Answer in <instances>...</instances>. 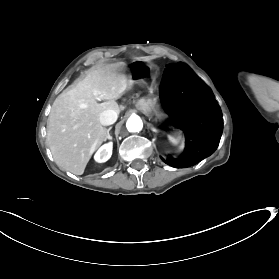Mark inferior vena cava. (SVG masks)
Returning a JSON list of instances; mask_svg holds the SVG:
<instances>
[{"mask_svg":"<svg viewBox=\"0 0 279 279\" xmlns=\"http://www.w3.org/2000/svg\"><path fill=\"white\" fill-rule=\"evenodd\" d=\"M117 120V113L115 110L108 109L100 114V122L104 125L113 124Z\"/></svg>","mask_w":279,"mask_h":279,"instance_id":"1","label":"inferior vena cava"}]
</instances>
